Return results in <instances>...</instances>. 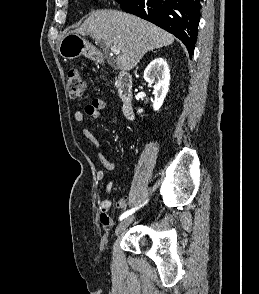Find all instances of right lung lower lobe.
Listing matches in <instances>:
<instances>
[{"instance_id":"obj_1","label":"right lung lower lobe","mask_w":259,"mask_h":294,"mask_svg":"<svg viewBox=\"0 0 259 294\" xmlns=\"http://www.w3.org/2000/svg\"><path fill=\"white\" fill-rule=\"evenodd\" d=\"M120 7L175 35L192 56L200 20V0H123Z\"/></svg>"}]
</instances>
